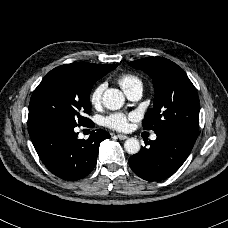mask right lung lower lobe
Here are the masks:
<instances>
[{
    "label": "right lung lower lobe",
    "instance_id": "right-lung-lower-lobe-1",
    "mask_svg": "<svg viewBox=\"0 0 228 228\" xmlns=\"http://www.w3.org/2000/svg\"><path fill=\"white\" fill-rule=\"evenodd\" d=\"M94 125L91 123L88 126ZM76 126L63 121H45L28 126L32 143L44 165L57 177L75 181L95 167L99 144L110 138L102 129L92 131L87 140L78 139Z\"/></svg>",
    "mask_w": 228,
    "mask_h": 228
}]
</instances>
